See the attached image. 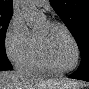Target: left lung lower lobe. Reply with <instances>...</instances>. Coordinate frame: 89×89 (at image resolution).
Here are the masks:
<instances>
[{
    "label": "left lung lower lobe",
    "mask_w": 89,
    "mask_h": 89,
    "mask_svg": "<svg viewBox=\"0 0 89 89\" xmlns=\"http://www.w3.org/2000/svg\"><path fill=\"white\" fill-rule=\"evenodd\" d=\"M88 73H89V55H86L81 57V63L79 68L69 77L73 79L89 81Z\"/></svg>",
    "instance_id": "1"
}]
</instances>
